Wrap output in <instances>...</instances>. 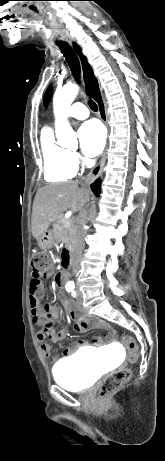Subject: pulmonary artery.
<instances>
[{
  "instance_id": "pulmonary-artery-1",
  "label": "pulmonary artery",
  "mask_w": 165,
  "mask_h": 461,
  "mask_svg": "<svg viewBox=\"0 0 165 461\" xmlns=\"http://www.w3.org/2000/svg\"><path fill=\"white\" fill-rule=\"evenodd\" d=\"M88 115L89 112L86 106L82 103H74L67 112V116L80 120L87 118Z\"/></svg>"
}]
</instances>
